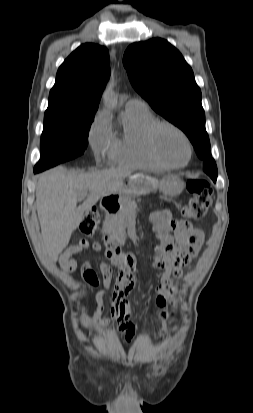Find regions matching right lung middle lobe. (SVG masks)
<instances>
[{
	"label": "right lung middle lobe",
	"instance_id": "right-lung-middle-lobe-1",
	"mask_svg": "<svg viewBox=\"0 0 253 413\" xmlns=\"http://www.w3.org/2000/svg\"><path fill=\"white\" fill-rule=\"evenodd\" d=\"M93 120L94 115L45 116L41 158L34 170L43 171L83 154Z\"/></svg>",
	"mask_w": 253,
	"mask_h": 413
}]
</instances>
